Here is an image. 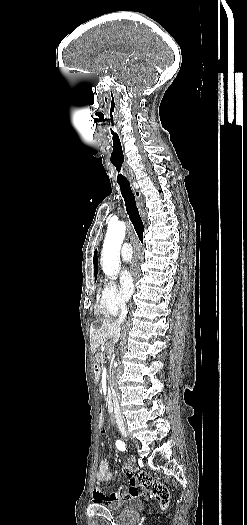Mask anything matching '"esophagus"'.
Masks as SVG:
<instances>
[{
    "label": "esophagus",
    "mask_w": 247,
    "mask_h": 525,
    "mask_svg": "<svg viewBox=\"0 0 247 525\" xmlns=\"http://www.w3.org/2000/svg\"><path fill=\"white\" fill-rule=\"evenodd\" d=\"M134 193H135V196L137 198V200H140V197H141V193L139 190H134Z\"/></svg>",
    "instance_id": "1"
}]
</instances>
